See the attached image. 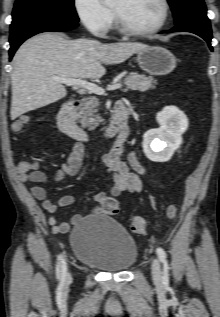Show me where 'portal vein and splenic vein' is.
Here are the masks:
<instances>
[{"mask_svg": "<svg viewBox=\"0 0 220 317\" xmlns=\"http://www.w3.org/2000/svg\"><path fill=\"white\" fill-rule=\"evenodd\" d=\"M52 79L58 82H61L63 84H65L66 86H73V87H84L86 89H88L89 91H91L92 93H95L97 95H103L105 93V89H103L102 87L91 83V82H87L81 79H75V78H61L58 76H52ZM122 87L121 84H114L111 85L107 88V90H117L120 89Z\"/></svg>", "mask_w": 220, "mask_h": 317, "instance_id": "obj_1", "label": "portal vein and splenic vein"}]
</instances>
